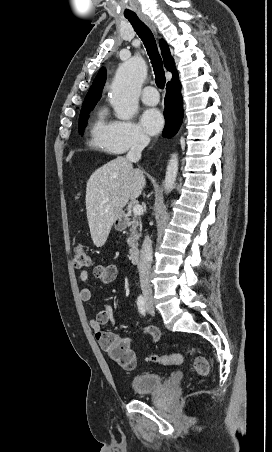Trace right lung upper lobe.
I'll return each mask as SVG.
<instances>
[{
  "instance_id": "obj_1",
  "label": "right lung upper lobe",
  "mask_w": 272,
  "mask_h": 452,
  "mask_svg": "<svg viewBox=\"0 0 272 452\" xmlns=\"http://www.w3.org/2000/svg\"><path fill=\"white\" fill-rule=\"evenodd\" d=\"M160 48L164 59V65L166 69L171 71L173 74V78L171 79L170 82L178 80V74L175 69L173 58L171 57L169 47L164 40H160ZM105 80H106V71L104 68H101L85 97L83 105L94 104L98 102L105 84Z\"/></svg>"
}]
</instances>
